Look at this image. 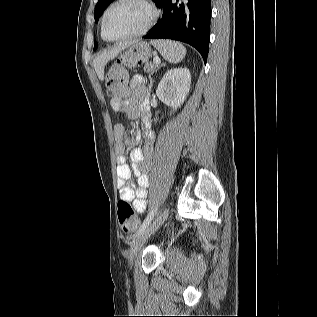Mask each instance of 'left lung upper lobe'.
<instances>
[{
	"instance_id": "obj_1",
	"label": "left lung upper lobe",
	"mask_w": 317,
	"mask_h": 317,
	"mask_svg": "<svg viewBox=\"0 0 317 317\" xmlns=\"http://www.w3.org/2000/svg\"><path fill=\"white\" fill-rule=\"evenodd\" d=\"M113 0H99L98 3L95 6L94 11V18L95 22H98L99 17L102 15L103 11L107 8V6L112 2ZM155 4L160 7L161 4L164 2V0H153ZM97 48V43L94 45V49Z\"/></svg>"
}]
</instances>
